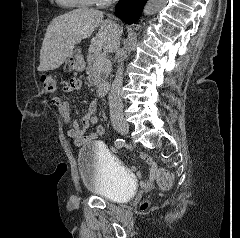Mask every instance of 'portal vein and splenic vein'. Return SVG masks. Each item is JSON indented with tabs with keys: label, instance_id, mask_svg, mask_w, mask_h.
Masks as SVG:
<instances>
[{
	"label": "portal vein and splenic vein",
	"instance_id": "1",
	"mask_svg": "<svg viewBox=\"0 0 240 238\" xmlns=\"http://www.w3.org/2000/svg\"><path fill=\"white\" fill-rule=\"evenodd\" d=\"M95 55H98V53H95ZM99 62H100L101 65L110 64V61H107L105 59H100Z\"/></svg>",
	"mask_w": 240,
	"mask_h": 238
}]
</instances>
